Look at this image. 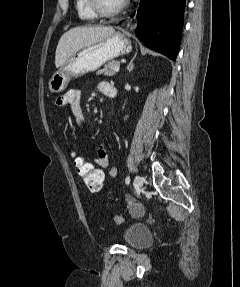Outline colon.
<instances>
[{"mask_svg":"<svg viewBox=\"0 0 240 287\" xmlns=\"http://www.w3.org/2000/svg\"><path fill=\"white\" fill-rule=\"evenodd\" d=\"M70 157L75 166L78 176L83 180L86 187L92 192H98L102 189L104 184V173L96 166L94 162L89 161L85 156L74 149L70 148ZM124 221L122 215H116L114 222L121 224Z\"/></svg>","mask_w":240,"mask_h":287,"instance_id":"colon-1","label":"colon"}]
</instances>
